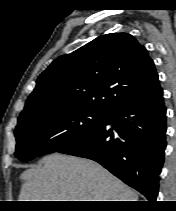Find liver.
Segmentation results:
<instances>
[{"label": "liver", "instance_id": "obj_1", "mask_svg": "<svg viewBox=\"0 0 176 211\" xmlns=\"http://www.w3.org/2000/svg\"><path fill=\"white\" fill-rule=\"evenodd\" d=\"M19 201H138L137 193L97 162L53 153L22 172Z\"/></svg>", "mask_w": 176, "mask_h": 211}]
</instances>
